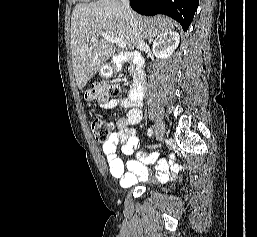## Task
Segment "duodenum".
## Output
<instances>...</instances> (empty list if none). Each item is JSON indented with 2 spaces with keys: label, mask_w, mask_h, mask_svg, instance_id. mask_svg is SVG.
Segmentation results:
<instances>
[{
  "label": "duodenum",
  "mask_w": 257,
  "mask_h": 237,
  "mask_svg": "<svg viewBox=\"0 0 257 237\" xmlns=\"http://www.w3.org/2000/svg\"><path fill=\"white\" fill-rule=\"evenodd\" d=\"M125 62H131L136 67V72L129 88V98L132 101H141L145 94L144 58L136 52H123L115 60V69L121 68Z\"/></svg>",
  "instance_id": "duodenum-1"
}]
</instances>
